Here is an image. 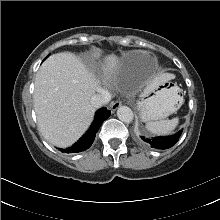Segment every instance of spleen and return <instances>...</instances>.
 I'll return each mask as SVG.
<instances>
[{
	"mask_svg": "<svg viewBox=\"0 0 220 220\" xmlns=\"http://www.w3.org/2000/svg\"><path fill=\"white\" fill-rule=\"evenodd\" d=\"M179 118L175 117L171 120L150 121L146 123V128L151 133L158 135L170 134L178 125Z\"/></svg>",
	"mask_w": 220,
	"mask_h": 220,
	"instance_id": "obj_1",
	"label": "spleen"
}]
</instances>
